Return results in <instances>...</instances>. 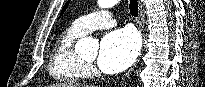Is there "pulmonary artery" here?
Returning a JSON list of instances; mask_svg holds the SVG:
<instances>
[{"label":"pulmonary artery","instance_id":"pulmonary-artery-1","mask_svg":"<svg viewBox=\"0 0 205 87\" xmlns=\"http://www.w3.org/2000/svg\"><path fill=\"white\" fill-rule=\"evenodd\" d=\"M116 20L107 10H100L76 19L72 27L77 31L88 34L96 29H107L115 26Z\"/></svg>","mask_w":205,"mask_h":87}]
</instances>
